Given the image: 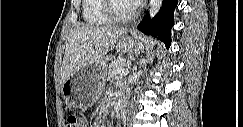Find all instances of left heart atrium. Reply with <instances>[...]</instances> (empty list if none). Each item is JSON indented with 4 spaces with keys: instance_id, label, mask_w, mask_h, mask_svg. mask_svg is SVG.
I'll use <instances>...</instances> for the list:
<instances>
[{
    "instance_id": "obj_1",
    "label": "left heart atrium",
    "mask_w": 243,
    "mask_h": 127,
    "mask_svg": "<svg viewBox=\"0 0 243 127\" xmlns=\"http://www.w3.org/2000/svg\"><path fill=\"white\" fill-rule=\"evenodd\" d=\"M129 2L134 5H137V4L141 3V0H130Z\"/></svg>"
}]
</instances>
